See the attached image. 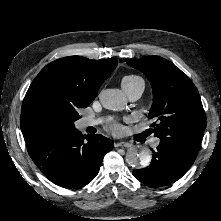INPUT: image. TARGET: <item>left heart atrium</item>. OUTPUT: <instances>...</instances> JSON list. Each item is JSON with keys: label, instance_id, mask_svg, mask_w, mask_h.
Here are the masks:
<instances>
[{"label": "left heart atrium", "instance_id": "obj_1", "mask_svg": "<svg viewBox=\"0 0 221 221\" xmlns=\"http://www.w3.org/2000/svg\"><path fill=\"white\" fill-rule=\"evenodd\" d=\"M110 130L114 133H120L121 132V127L117 124L111 125Z\"/></svg>", "mask_w": 221, "mask_h": 221}]
</instances>
